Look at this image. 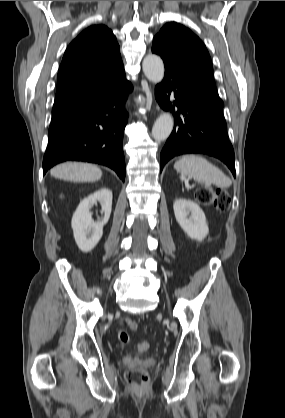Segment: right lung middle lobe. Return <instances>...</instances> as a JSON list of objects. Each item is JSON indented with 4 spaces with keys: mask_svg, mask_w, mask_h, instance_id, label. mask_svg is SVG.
<instances>
[{
    "mask_svg": "<svg viewBox=\"0 0 285 418\" xmlns=\"http://www.w3.org/2000/svg\"><path fill=\"white\" fill-rule=\"evenodd\" d=\"M60 111H61V110H57V109L55 110V109H53V110H52V115H53V114H57V113H59Z\"/></svg>",
    "mask_w": 285,
    "mask_h": 418,
    "instance_id": "right-lung-middle-lobe-1",
    "label": "right lung middle lobe"
}]
</instances>
